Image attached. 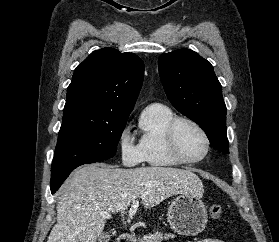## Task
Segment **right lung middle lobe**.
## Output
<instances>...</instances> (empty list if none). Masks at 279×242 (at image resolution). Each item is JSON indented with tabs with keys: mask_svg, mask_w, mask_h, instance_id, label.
<instances>
[{
	"mask_svg": "<svg viewBox=\"0 0 279 242\" xmlns=\"http://www.w3.org/2000/svg\"><path fill=\"white\" fill-rule=\"evenodd\" d=\"M128 117L64 114L51 167V182L76 167L113 157Z\"/></svg>",
	"mask_w": 279,
	"mask_h": 242,
	"instance_id": "1",
	"label": "right lung middle lobe"
}]
</instances>
